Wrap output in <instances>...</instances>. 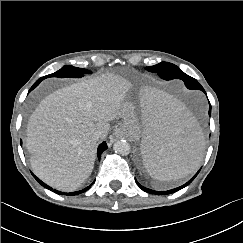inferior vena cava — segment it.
<instances>
[{
	"label": "inferior vena cava",
	"mask_w": 243,
	"mask_h": 243,
	"mask_svg": "<svg viewBox=\"0 0 243 243\" xmlns=\"http://www.w3.org/2000/svg\"><path fill=\"white\" fill-rule=\"evenodd\" d=\"M102 137V133L100 131H97L93 134V139L99 140Z\"/></svg>",
	"instance_id": "obj_1"
}]
</instances>
